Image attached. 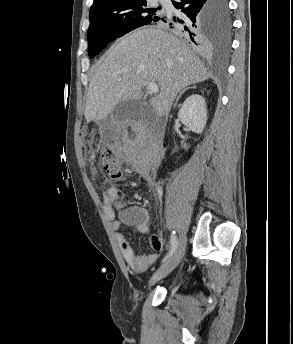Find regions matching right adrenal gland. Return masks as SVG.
<instances>
[{
	"label": "right adrenal gland",
	"mask_w": 293,
	"mask_h": 344,
	"mask_svg": "<svg viewBox=\"0 0 293 344\" xmlns=\"http://www.w3.org/2000/svg\"><path fill=\"white\" fill-rule=\"evenodd\" d=\"M195 88H196V86L194 85V86H192V87H188V88L183 89V90L179 93V95L177 96V99H176V102H175L174 106H176L177 101H178L179 98L182 96V94H184V93H185L187 90H189V89H195Z\"/></svg>",
	"instance_id": "1"
}]
</instances>
